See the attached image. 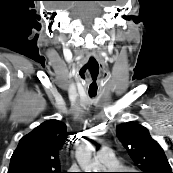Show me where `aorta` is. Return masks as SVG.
<instances>
[{"instance_id": "obj_1", "label": "aorta", "mask_w": 173, "mask_h": 173, "mask_svg": "<svg viewBox=\"0 0 173 173\" xmlns=\"http://www.w3.org/2000/svg\"><path fill=\"white\" fill-rule=\"evenodd\" d=\"M76 158L83 172H97L99 169L97 163L92 159V153L89 148L78 150Z\"/></svg>"}]
</instances>
